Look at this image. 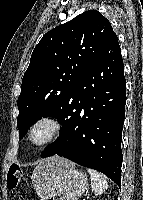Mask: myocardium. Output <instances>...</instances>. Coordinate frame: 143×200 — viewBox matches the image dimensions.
Wrapping results in <instances>:
<instances>
[{
    "label": "myocardium",
    "instance_id": "myocardium-1",
    "mask_svg": "<svg viewBox=\"0 0 143 200\" xmlns=\"http://www.w3.org/2000/svg\"><path fill=\"white\" fill-rule=\"evenodd\" d=\"M43 126L47 127L48 129L47 135L42 140L35 141L34 140L35 131ZM61 130H62V122L60 121L59 118L52 115H45L38 118L31 124L27 133V141L31 146L35 148H42L55 141L60 135Z\"/></svg>",
    "mask_w": 143,
    "mask_h": 200
}]
</instances>
